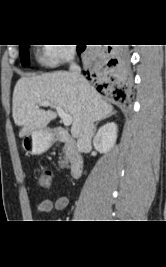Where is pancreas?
<instances>
[{"mask_svg": "<svg viewBox=\"0 0 166 267\" xmlns=\"http://www.w3.org/2000/svg\"><path fill=\"white\" fill-rule=\"evenodd\" d=\"M63 153L65 154L64 157H63V159L60 158V161L58 162L59 163V166L61 168H64L65 166H68V163L72 159V153H71L70 148H69L68 145H65L64 146Z\"/></svg>", "mask_w": 166, "mask_h": 267, "instance_id": "obj_1", "label": "pancreas"}]
</instances>
